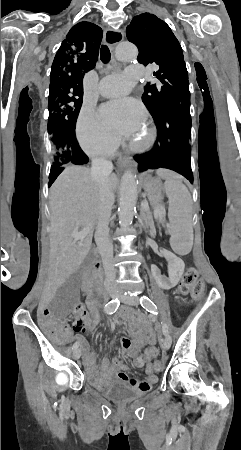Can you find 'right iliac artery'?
Returning <instances> with one entry per match:
<instances>
[{
	"label": "right iliac artery",
	"mask_w": 241,
	"mask_h": 450,
	"mask_svg": "<svg viewBox=\"0 0 241 450\" xmlns=\"http://www.w3.org/2000/svg\"><path fill=\"white\" fill-rule=\"evenodd\" d=\"M119 305H120V301L116 298L114 300H111L110 302H108L105 305L104 311L107 314H113L118 309ZM78 346H79V343L75 342L72 346V350H76L78 348Z\"/></svg>",
	"instance_id": "82829eb1"
}]
</instances>
